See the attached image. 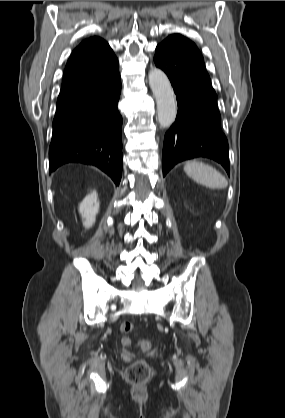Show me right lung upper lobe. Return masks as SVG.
<instances>
[{
    "label": "right lung upper lobe",
    "instance_id": "right-lung-upper-lobe-1",
    "mask_svg": "<svg viewBox=\"0 0 285 418\" xmlns=\"http://www.w3.org/2000/svg\"><path fill=\"white\" fill-rule=\"evenodd\" d=\"M117 72L118 60L109 44L96 36L85 39L66 64L57 105L97 87Z\"/></svg>",
    "mask_w": 285,
    "mask_h": 418
}]
</instances>
